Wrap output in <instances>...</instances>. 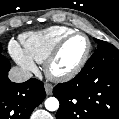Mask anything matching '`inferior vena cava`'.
Returning <instances> with one entry per match:
<instances>
[{
  "label": "inferior vena cava",
  "instance_id": "inferior-vena-cava-1",
  "mask_svg": "<svg viewBox=\"0 0 119 119\" xmlns=\"http://www.w3.org/2000/svg\"><path fill=\"white\" fill-rule=\"evenodd\" d=\"M9 79L12 82L22 83L32 78V73L19 67H13L9 71Z\"/></svg>",
  "mask_w": 119,
  "mask_h": 119
}]
</instances>
